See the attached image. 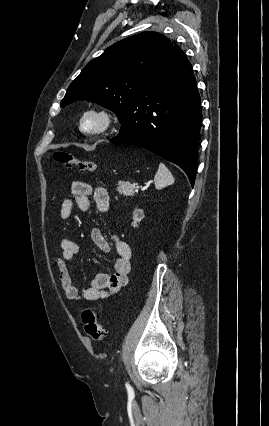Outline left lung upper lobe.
<instances>
[{
  "mask_svg": "<svg viewBox=\"0 0 269 426\" xmlns=\"http://www.w3.org/2000/svg\"><path fill=\"white\" fill-rule=\"evenodd\" d=\"M173 45L163 35L143 32L108 47L70 84L61 106L76 100L96 102L123 122L135 96L147 90Z\"/></svg>",
  "mask_w": 269,
  "mask_h": 426,
  "instance_id": "obj_1",
  "label": "left lung upper lobe"
}]
</instances>
